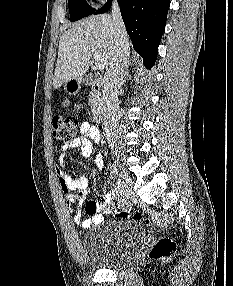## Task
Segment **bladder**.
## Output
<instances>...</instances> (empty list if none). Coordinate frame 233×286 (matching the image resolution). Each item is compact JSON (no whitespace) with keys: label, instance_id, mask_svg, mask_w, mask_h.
Segmentation results:
<instances>
[{"label":"bladder","instance_id":"bladder-1","mask_svg":"<svg viewBox=\"0 0 233 286\" xmlns=\"http://www.w3.org/2000/svg\"><path fill=\"white\" fill-rule=\"evenodd\" d=\"M145 237V228L137 220L125 219L102 226L82 240L85 262L100 269H116L127 264Z\"/></svg>","mask_w":233,"mask_h":286}]
</instances>
